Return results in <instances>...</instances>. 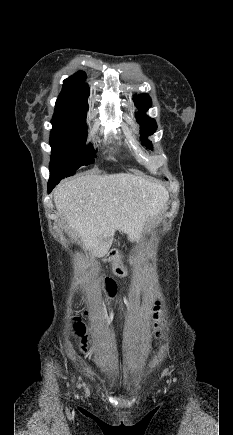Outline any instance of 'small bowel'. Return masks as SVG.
I'll list each match as a JSON object with an SVG mask.
<instances>
[{
  "mask_svg": "<svg viewBox=\"0 0 233 435\" xmlns=\"http://www.w3.org/2000/svg\"><path fill=\"white\" fill-rule=\"evenodd\" d=\"M101 290L109 297L110 300L116 297L118 286L111 279H100L98 283Z\"/></svg>",
  "mask_w": 233,
  "mask_h": 435,
  "instance_id": "1",
  "label": "small bowel"
}]
</instances>
